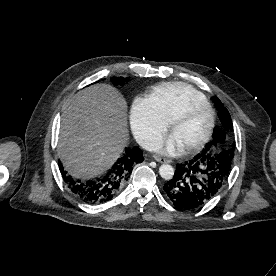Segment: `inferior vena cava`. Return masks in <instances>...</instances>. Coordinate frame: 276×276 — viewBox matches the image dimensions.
Here are the masks:
<instances>
[{"label":"inferior vena cava","instance_id":"inferior-vena-cava-1","mask_svg":"<svg viewBox=\"0 0 276 276\" xmlns=\"http://www.w3.org/2000/svg\"><path fill=\"white\" fill-rule=\"evenodd\" d=\"M139 144L148 151H158L162 148V140L159 137H146Z\"/></svg>","mask_w":276,"mask_h":276}]
</instances>
